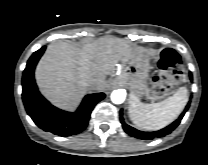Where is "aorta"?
I'll use <instances>...</instances> for the list:
<instances>
[{"label":"aorta","instance_id":"1","mask_svg":"<svg viewBox=\"0 0 208 165\" xmlns=\"http://www.w3.org/2000/svg\"><path fill=\"white\" fill-rule=\"evenodd\" d=\"M126 94L123 90H114L111 94V101L114 104H122L125 101Z\"/></svg>","mask_w":208,"mask_h":165}]
</instances>
